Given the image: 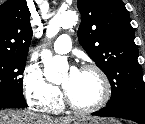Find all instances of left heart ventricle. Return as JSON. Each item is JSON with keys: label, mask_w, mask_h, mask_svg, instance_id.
<instances>
[{"label": "left heart ventricle", "mask_w": 145, "mask_h": 124, "mask_svg": "<svg viewBox=\"0 0 145 124\" xmlns=\"http://www.w3.org/2000/svg\"><path fill=\"white\" fill-rule=\"evenodd\" d=\"M60 83L72 102L78 106H91L102 96L101 80L92 71H78L74 77L67 71L62 75Z\"/></svg>", "instance_id": "1"}]
</instances>
